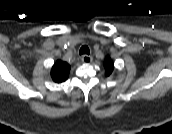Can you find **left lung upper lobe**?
Segmentation results:
<instances>
[{
	"mask_svg": "<svg viewBox=\"0 0 172 134\" xmlns=\"http://www.w3.org/2000/svg\"><path fill=\"white\" fill-rule=\"evenodd\" d=\"M104 67L106 69V76L111 75L114 66H113V62L111 60V58L109 56L106 57L105 62H104Z\"/></svg>",
	"mask_w": 172,
	"mask_h": 134,
	"instance_id": "obj_1",
	"label": "left lung upper lobe"
}]
</instances>
